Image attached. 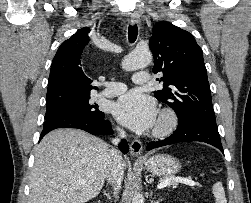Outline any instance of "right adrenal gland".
Here are the masks:
<instances>
[{"label": "right adrenal gland", "mask_w": 251, "mask_h": 203, "mask_svg": "<svg viewBox=\"0 0 251 203\" xmlns=\"http://www.w3.org/2000/svg\"><path fill=\"white\" fill-rule=\"evenodd\" d=\"M104 196L107 197V199H111L110 193L106 192L105 190L103 191Z\"/></svg>", "instance_id": "obj_1"}]
</instances>
